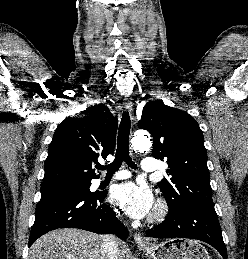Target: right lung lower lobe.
<instances>
[{
  "instance_id": "right-lung-lower-lobe-1",
  "label": "right lung lower lobe",
  "mask_w": 248,
  "mask_h": 259,
  "mask_svg": "<svg viewBox=\"0 0 248 259\" xmlns=\"http://www.w3.org/2000/svg\"><path fill=\"white\" fill-rule=\"evenodd\" d=\"M107 193L57 190L41 193L29 246L43 234L58 228H79L98 234L116 233L125 240L128 229L113 209L102 204Z\"/></svg>"
}]
</instances>
